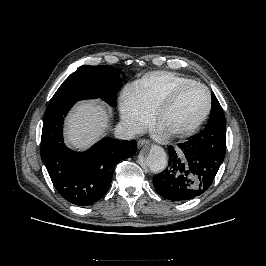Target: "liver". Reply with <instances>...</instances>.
Masks as SVG:
<instances>
[{
	"label": "liver",
	"instance_id": "1",
	"mask_svg": "<svg viewBox=\"0 0 266 266\" xmlns=\"http://www.w3.org/2000/svg\"><path fill=\"white\" fill-rule=\"evenodd\" d=\"M106 107L99 101H83L70 112L65 128L66 141L85 150L96 142L108 127Z\"/></svg>",
	"mask_w": 266,
	"mask_h": 266
}]
</instances>
